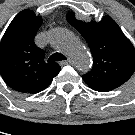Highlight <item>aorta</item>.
Returning <instances> with one entry per match:
<instances>
[{"mask_svg": "<svg viewBox=\"0 0 135 135\" xmlns=\"http://www.w3.org/2000/svg\"><path fill=\"white\" fill-rule=\"evenodd\" d=\"M51 45L68 54L74 65L81 71L91 67V56L78 38L66 28H55L50 35Z\"/></svg>", "mask_w": 135, "mask_h": 135, "instance_id": "762f6f07", "label": "aorta"}]
</instances>
